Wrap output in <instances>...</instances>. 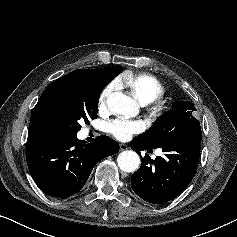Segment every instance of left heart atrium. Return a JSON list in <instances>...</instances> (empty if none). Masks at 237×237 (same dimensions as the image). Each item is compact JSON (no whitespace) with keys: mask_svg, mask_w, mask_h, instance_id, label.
<instances>
[{"mask_svg":"<svg viewBox=\"0 0 237 237\" xmlns=\"http://www.w3.org/2000/svg\"><path fill=\"white\" fill-rule=\"evenodd\" d=\"M143 125L139 121L115 119L108 124V131L120 141H128L134 134L140 133Z\"/></svg>","mask_w":237,"mask_h":237,"instance_id":"39dd6f15","label":"left heart atrium"}]
</instances>
